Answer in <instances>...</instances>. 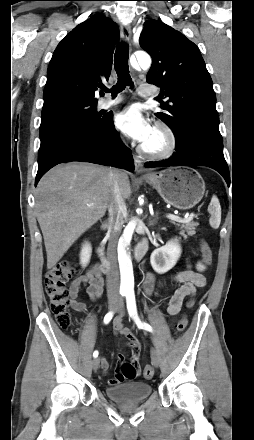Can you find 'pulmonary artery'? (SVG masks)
I'll return each instance as SVG.
<instances>
[{
	"label": "pulmonary artery",
	"mask_w": 254,
	"mask_h": 440,
	"mask_svg": "<svg viewBox=\"0 0 254 440\" xmlns=\"http://www.w3.org/2000/svg\"><path fill=\"white\" fill-rule=\"evenodd\" d=\"M154 93H155V89L146 84H141L138 88V94L140 96H150L153 95ZM121 101H122L121 97H117L115 99H104L99 102V107L101 109L112 108L118 105L119 103H121Z\"/></svg>",
	"instance_id": "e3ab8cb5"
}]
</instances>
